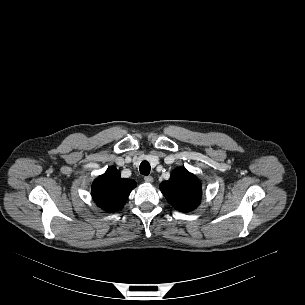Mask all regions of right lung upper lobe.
Instances as JSON below:
<instances>
[{
	"label": "right lung upper lobe",
	"mask_w": 305,
	"mask_h": 305,
	"mask_svg": "<svg viewBox=\"0 0 305 305\" xmlns=\"http://www.w3.org/2000/svg\"><path fill=\"white\" fill-rule=\"evenodd\" d=\"M136 182L120 177V171L110 167L92 184V197L96 204L107 212L120 210L135 188Z\"/></svg>",
	"instance_id": "1"
}]
</instances>
